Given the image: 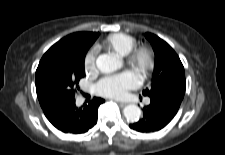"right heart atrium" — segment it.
Returning <instances> with one entry per match:
<instances>
[{
	"label": "right heart atrium",
	"instance_id": "obj_1",
	"mask_svg": "<svg viewBox=\"0 0 225 155\" xmlns=\"http://www.w3.org/2000/svg\"><path fill=\"white\" fill-rule=\"evenodd\" d=\"M84 67L86 71H92L95 67V50H90L84 61Z\"/></svg>",
	"mask_w": 225,
	"mask_h": 155
}]
</instances>
